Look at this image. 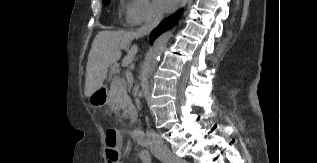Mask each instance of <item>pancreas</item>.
Masks as SVG:
<instances>
[{"label":"pancreas","instance_id":"obj_1","mask_svg":"<svg viewBox=\"0 0 317 163\" xmlns=\"http://www.w3.org/2000/svg\"><path fill=\"white\" fill-rule=\"evenodd\" d=\"M109 104L116 114L122 110L123 113L120 118L129 119L130 124H133L137 120L136 108L132 104L122 81L119 84L111 83L109 90Z\"/></svg>","mask_w":317,"mask_h":163}]
</instances>
